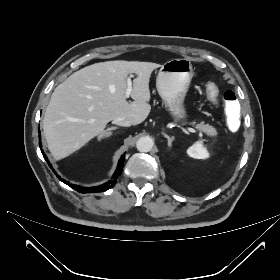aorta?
<instances>
[{
  "mask_svg": "<svg viewBox=\"0 0 280 280\" xmlns=\"http://www.w3.org/2000/svg\"><path fill=\"white\" fill-rule=\"evenodd\" d=\"M153 139L149 136L141 137L136 142V148L140 152H149L153 147Z\"/></svg>",
  "mask_w": 280,
  "mask_h": 280,
  "instance_id": "1",
  "label": "aorta"
}]
</instances>
